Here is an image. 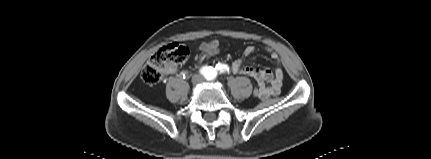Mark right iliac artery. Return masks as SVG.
<instances>
[{
	"instance_id": "1",
	"label": "right iliac artery",
	"mask_w": 431,
	"mask_h": 159,
	"mask_svg": "<svg viewBox=\"0 0 431 159\" xmlns=\"http://www.w3.org/2000/svg\"><path fill=\"white\" fill-rule=\"evenodd\" d=\"M201 74L205 77L210 79L212 77V74L214 72V69L212 67L204 66L200 70Z\"/></svg>"
}]
</instances>
